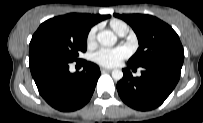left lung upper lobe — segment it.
Instances as JSON below:
<instances>
[{
  "mask_svg": "<svg viewBox=\"0 0 203 123\" xmlns=\"http://www.w3.org/2000/svg\"><path fill=\"white\" fill-rule=\"evenodd\" d=\"M127 22L137 35L139 48L128 63L144 66L151 63H180L184 50L177 33L160 19L143 14H114Z\"/></svg>",
  "mask_w": 203,
  "mask_h": 123,
  "instance_id": "left-lung-upper-lobe-1",
  "label": "left lung upper lobe"
}]
</instances>
